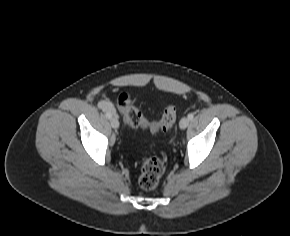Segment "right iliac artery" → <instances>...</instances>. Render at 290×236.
Wrapping results in <instances>:
<instances>
[{"mask_svg":"<svg viewBox=\"0 0 290 236\" xmlns=\"http://www.w3.org/2000/svg\"><path fill=\"white\" fill-rule=\"evenodd\" d=\"M106 117H107V118H111V117H112L111 112H106Z\"/></svg>","mask_w":290,"mask_h":236,"instance_id":"right-iliac-artery-1","label":"right iliac artery"}]
</instances>
